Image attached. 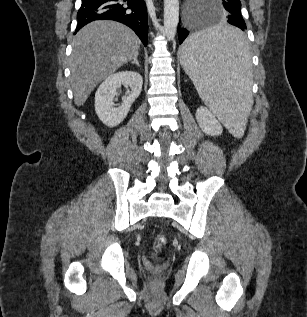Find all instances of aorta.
Instances as JSON below:
<instances>
[{
  "label": "aorta",
  "mask_w": 307,
  "mask_h": 317,
  "mask_svg": "<svg viewBox=\"0 0 307 317\" xmlns=\"http://www.w3.org/2000/svg\"><path fill=\"white\" fill-rule=\"evenodd\" d=\"M179 20V0H164V33L171 41L174 39Z\"/></svg>",
  "instance_id": "aorta-1"
}]
</instances>
